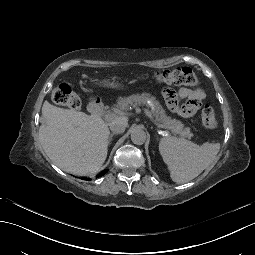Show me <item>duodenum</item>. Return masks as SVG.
<instances>
[{
    "instance_id": "410a0bca",
    "label": "duodenum",
    "mask_w": 255,
    "mask_h": 255,
    "mask_svg": "<svg viewBox=\"0 0 255 255\" xmlns=\"http://www.w3.org/2000/svg\"><path fill=\"white\" fill-rule=\"evenodd\" d=\"M87 108L93 117L99 118L104 114V104L99 97L91 98Z\"/></svg>"
}]
</instances>
